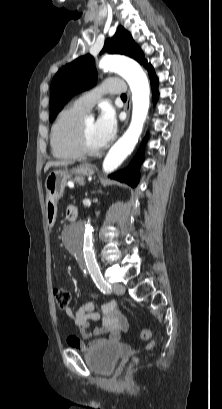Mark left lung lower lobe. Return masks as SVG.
Returning a JSON list of instances; mask_svg holds the SVG:
<instances>
[{"label":"left lung lower lobe","instance_id":"1","mask_svg":"<svg viewBox=\"0 0 222 409\" xmlns=\"http://www.w3.org/2000/svg\"><path fill=\"white\" fill-rule=\"evenodd\" d=\"M150 80H151L152 91H153V101L156 102L158 98V94H159L158 89H157L158 79L156 75L154 74L150 76ZM143 145H144V142L140 150L138 151L137 155L135 156L134 160L129 165L128 169L114 173L110 175V177L120 180L122 182H126L132 187L136 186L138 183V179H139L138 168H139V163L142 161Z\"/></svg>","mask_w":222,"mask_h":409}]
</instances>
